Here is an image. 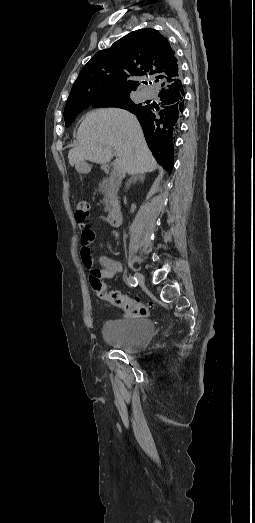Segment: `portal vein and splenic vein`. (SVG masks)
Returning <instances> with one entry per match:
<instances>
[{
  "label": "portal vein and splenic vein",
  "instance_id": "1",
  "mask_svg": "<svg viewBox=\"0 0 255 523\" xmlns=\"http://www.w3.org/2000/svg\"><path fill=\"white\" fill-rule=\"evenodd\" d=\"M112 167H113V169L111 170V173H112L113 175L118 174V171L120 170L119 164H118L117 162H114V163L112 164Z\"/></svg>",
  "mask_w": 255,
  "mask_h": 523
}]
</instances>
